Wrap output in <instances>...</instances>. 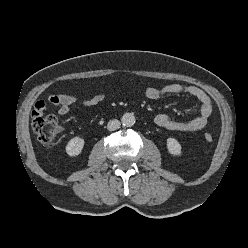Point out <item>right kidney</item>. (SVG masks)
Wrapping results in <instances>:
<instances>
[{"mask_svg":"<svg viewBox=\"0 0 248 248\" xmlns=\"http://www.w3.org/2000/svg\"><path fill=\"white\" fill-rule=\"evenodd\" d=\"M83 147L84 139L82 137H74L68 142L66 152L69 156H77L82 152Z\"/></svg>","mask_w":248,"mask_h":248,"instance_id":"right-kidney-1","label":"right kidney"}]
</instances>
